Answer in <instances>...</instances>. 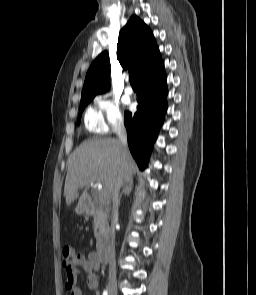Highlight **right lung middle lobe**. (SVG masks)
I'll return each instance as SVG.
<instances>
[{
	"instance_id": "right-lung-middle-lobe-1",
	"label": "right lung middle lobe",
	"mask_w": 256,
	"mask_h": 295,
	"mask_svg": "<svg viewBox=\"0 0 256 295\" xmlns=\"http://www.w3.org/2000/svg\"><path fill=\"white\" fill-rule=\"evenodd\" d=\"M93 98H94V97H85V98H81L80 109H79L78 124L80 123L81 114H82L83 110L85 109V107L87 106V104H88Z\"/></svg>"
}]
</instances>
